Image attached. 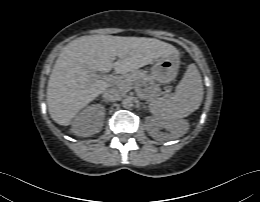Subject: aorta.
Listing matches in <instances>:
<instances>
[{"label":"aorta","mask_w":260,"mask_h":202,"mask_svg":"<svg viewBox=\"0 0 260 202\" xmlns=\"http://www.w3.org/2000/svg\"><path fill=\"white\" fill-rule=\"evenodd\" d=\"M122 105L124 108H130L133 105L132 98L126 97L122 100Z\"/></svg>","instance_id":"762f6f07"}]
</instances>
